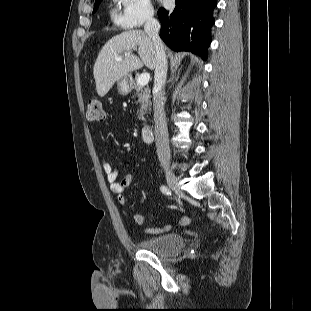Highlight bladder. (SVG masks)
<instances>
[{
  "mask_svg": "<svg viewBox=\"0 0 311 311\" xmlns=\"http://www.w3.org/2000/svg\"><path fill=\"white\" fill-rule=\"evenodd\" d=\"M185 244V238L178 233H168L155 237L142 238L138 245L141 250L155 252L161 255H171L180 251Z\"/></svg>",
  "mask_w": 311,
  "mask_h": 311,
  "instance_id": "31cf9c89",
  "label": "bladder"
}]
</instances>
